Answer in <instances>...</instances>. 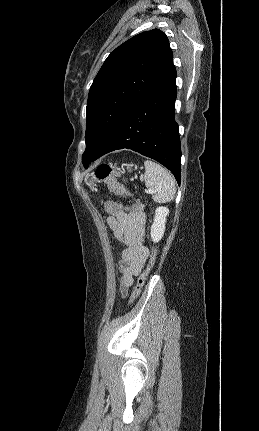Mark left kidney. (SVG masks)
Listing matches in <instances>:
<instances>
[{"mask_svg":"<svg viewBox=\"0 0 259 431\" xmlns=\"http://www.w3.org/2000/svg\"><path fill=\"white\" fill-rule=\"evenodd\" d=\"M169 214V209L166 207H158L155 210L154 222L151 226V238L154 242H159L165 232L166 216Z\"/></svg>","mask_w":259,"mask_h":431,"instance_id":"5707ae66","label":"left kidney"}]
</instances>
